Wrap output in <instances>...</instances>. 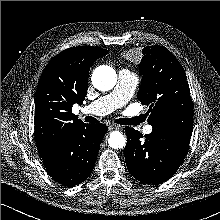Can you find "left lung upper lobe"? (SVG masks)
Here are the masks:
<instances>
[{"instance_id":"5c2ea615","label":"left lung upper lobe","mask_w":220,"mask_h":220,"mask_svg":"<svg viewBox=\"0 0 220 220\" xmlns=\"http://www.w3.org/2000/svg\"><path fill=\"white\" fill-rule=\"evenodd\" d=\"M139 101L149 105L148 123L154 129L192 134L193 103L185 71L166 48L154 45L142 49Z\"/></svg>"}]
</instances>
